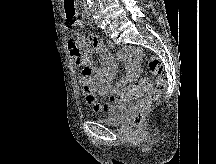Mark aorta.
<instances>
[{"mask_svg":"<svg viewBox=\"0 0 216 164\" xmlns=\"http://www.w3.org/2000/svg\"><path fill=\"white\" fill-rule=\"evenodd\" d=\"M89 2L90 11L94 14L95 11V3L94 0H87Z\"/></svg>","mask_w":216,"mask_h":164,"instance_id":"1","label":"aorta"}]
</instances>
